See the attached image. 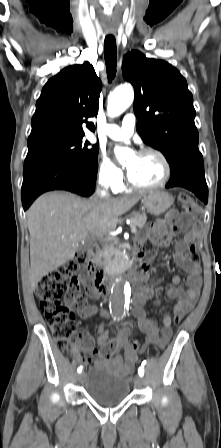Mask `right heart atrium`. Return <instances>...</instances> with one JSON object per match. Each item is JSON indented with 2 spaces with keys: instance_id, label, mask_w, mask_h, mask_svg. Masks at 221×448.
Wrapping results in <instances>:
<instances>
[{
  "instance_id": "1",
  "label": "right heart atrium",
  "mask_w": 221,
  "mask_h": 448,
  "mask_svg": "<svg viewBox=\"0 0 221 448\" xmlns=\"http://www.w3.org/2000/svg\"><path fill=\"white\" fill-rule=\"evenodd\" d=\"M99 183L108 189H118L123 181V172L108 157L100 155L97 167Z\"/></svg>"
}]
</instances>
